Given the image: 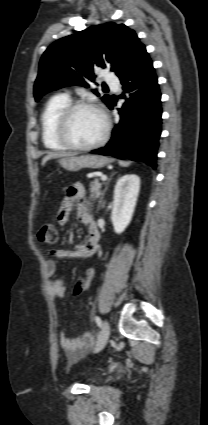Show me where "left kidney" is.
<instances>
[{
  "mask_svg": "<svg viewBox=\"0 0 208 425\" xmlns=\"http://www.w3.org/2000/svg\"><path fill=\"white\" fill-rule=\"evenodd\" d=\"M140 190V178L126 174L116 183L111 220L117 234L124 232L131 222Z\"/></svg>",
  "mask_w": 208,
  "mask_h": 425,
  "instance_id": "1",
  "label": "left kidney"
}]
</instances>
